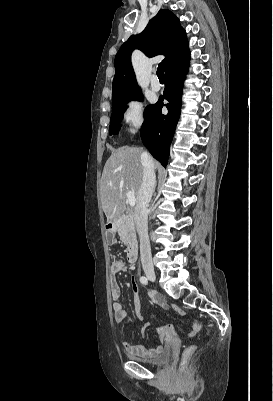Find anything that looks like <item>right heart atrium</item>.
<instances>
[{"label":"right heart atrium","mask_w":273,"mask_h":401,"mask_svg":"<svg viewBox=\"0 0 273 401\" xmlns=\"http://www.w3.org/2000/svg\"><path fill=\"white\" fill-rule=\"evenodd\" d=\"M123 120L130 133H135L143 124V107L140 101L132 99L127 102Z\"/></svg>","instance_id":"1"}]
</instances>
